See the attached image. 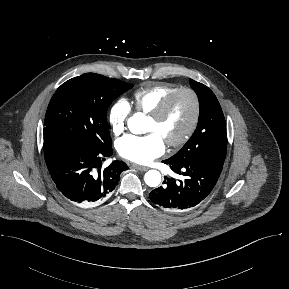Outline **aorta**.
<instances>
[{
	"label": "aorta",
	"instance_id": "obj_1",
	"mask_svg": "<svg viewBox=\"0 0 289 289\" xmlns=\"http://www.w3.org/2000/svg\"><path fill=\"white\" fill-rule=\"evenodd\" d=\"M132 122H135L137 125H139L141 122V115L136 114L134 117H132L131 122H130V129H132L131 128ZM144 181L148 186L156 187L161 182V174L157 170H149L148 172H146L144 176Z\"/></svg>",
	"mask_w": 289,
	"mask_h": 289
}]
</instances>
